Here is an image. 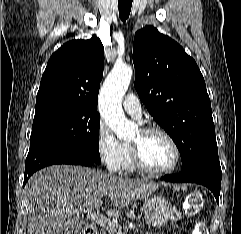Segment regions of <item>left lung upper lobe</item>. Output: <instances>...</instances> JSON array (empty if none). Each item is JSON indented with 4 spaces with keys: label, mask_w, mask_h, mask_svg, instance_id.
<instances>
[{
    "label": "left lung upper lobe",
    "mask_w": 241,
    "mask_h": 234,
    "mask_svg": "<svg viewBox=\"0 0 241 234\" xmlns=\"http://www.w3.org/2000/svg\"><path fill=\"white\" fill-rule=\"evenodd\" d=\"M135 88L177 145L182 173L221 172L211 102L196 62L170 37L146 26L133 44Z\"/></svg>",
    "instance_id": "5c2ea615"
}]
</instances>
